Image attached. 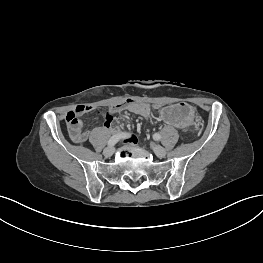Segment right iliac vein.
<instances>
[{"label": "right iliac vein", "instance_id": "63e3f726", "mask_svg": "<svg viewBox=\"0 0 263 263\" xmlns=\"http://www.w3.org/2000/svg\"><path fill=\"white\" fill-rule=\"evenodd\" d=\"M115 151V148L113 146H109L107 148L104 149L103 151V154L106 156V157H110L113 155Z\"/></svg>", "mask_w": 263, "mask_h": 263}]
</instances>
